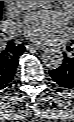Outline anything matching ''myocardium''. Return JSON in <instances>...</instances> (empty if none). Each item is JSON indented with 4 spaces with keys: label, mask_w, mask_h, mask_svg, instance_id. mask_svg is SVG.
Listing matches in <instances>:
<instances>
[{
    "label": "myocardium",
    "mask_w": 74,
    "mask_h": 122,
    "mask_svg": "<svg viewBox=\"0 0 74 122\" xmlns=\"http://www.w3.org/2000/svg\"><path fill=\"white\" fill-rule=\"evenodd\" d=\"M61 2L67 9H69L72 6L73 1H61Z\"/></svg>",
    "instance_id": "obj_1"
}]
</instances>
